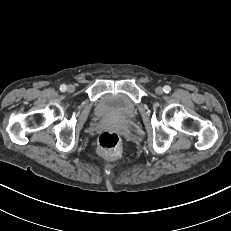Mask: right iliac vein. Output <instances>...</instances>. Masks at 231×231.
Returning <instances> with one entry per match:
<instances>
[{"mask_svg": "<svg viewBox=\"0 0 231 231\" xmlns=\"http://www.w3.org/2000/svg\"><path fill=\"white\" fill-rule=\"evenodd\" d=\"M74 90H75V87H74L73 85H68L67 91H68L69 93H72Z\"/></svg>", "mask_w": 231, "mask_h": 231, "instance_id": "1", "label": "right iliac vein"}]
</instances>
